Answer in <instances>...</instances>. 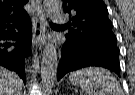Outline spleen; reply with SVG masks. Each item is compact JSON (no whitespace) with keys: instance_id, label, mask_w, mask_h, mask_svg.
I'll use <instances>...</instances> for the list:
<instances>
[{"instance_id":"3e777b00","label":"spleen","mask_w":135,"mask_h":95,"mask_svg":"<svg viewBox=\"0 0 135 95\" xmlns=\"http://www.w3.org/2000/svg\"><path fill=\"white\" fill-rule=\"evenodd\" d=\"M72 85L79 86L83 95H123L117 79L103 68H83L70 73Z\"/></svg>"}]
</instances>
